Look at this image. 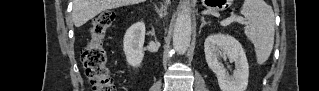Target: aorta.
<instances>
[{"instance_id":"aorta-1","label":"aorta","mask_w":319,"mask_h":91,"mask_svg":"<svg viewBox=\"0 0 319 91\" xmlns=\"http://www.w3.org/2000/svg\"><path fill=\"white\" fill-rule=\"evenodd\" d=\"M192 19L189 3L178 13L173 31V46L178 54H184L191 40Z\"/></svg>"}]
</instances>
